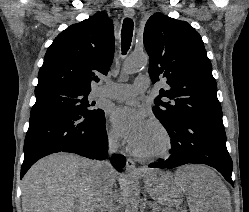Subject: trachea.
Instances as JSON below:
<instances>
[{
    "mask_svg": "<svg viewBox=\"0 0 249 212\" xmlns=\"http://www.w3.org/2000/svg\"><path fill=\"white\" fill-rule=\"evenodd\" d=\"M133 21L131 18H125L123 21V26L121 30V46L123 55L128 51L132 41L133 35Z\"/></svg>",
    "mask_w": 249,
    "mask_h": 212,
    "instance_id": "trachea-1",
    "label": "trachea"
}]
</instances>
